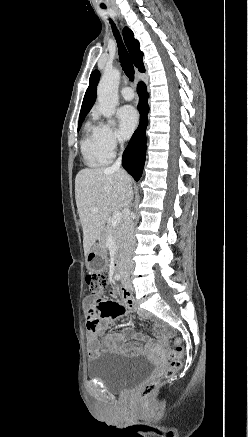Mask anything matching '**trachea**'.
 Instances as JSON below:
<instances>
[{
    "label": "trachea",
    "instance_id": "trachea-1",
    "mask_svg": "<svg viewBox=\"0 0 248 437\" xmlns=\"http://www.w3.org/2000/svg\"><path fill=\"white\" fill-rule=\"evenodd\" d=\"M111 26H112V30L115 36V39L117 41V46H118V52H119V59H120V63L122 66V69L125 73V75L131 80H134V67L133 64L131 62V59L129 57V54L122 42L121 36L115 26V24L113 23V21H110Z\"/></svg>",
    "mask_w": 248,
    "mask_h": 437
}]
</instances>
